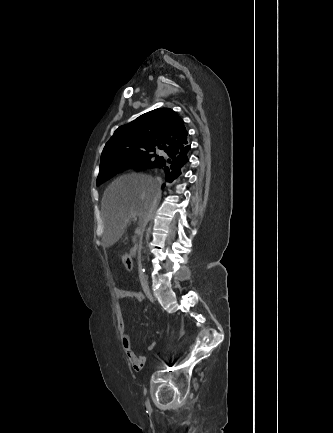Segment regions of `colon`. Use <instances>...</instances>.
Here are the masks:
<instances>
[{"mask_svg":"<svg viewBox=\"0 0 333 433\" xmlns=\"http://www.w3.org/2000/svg\"><path fill=\"white\" fill-rule=\"evenodd\" d=\"M121 262L124 265L126 270L130 271L132 269L133 266L130 257L127 256L122 257Z\"/></svg>","mask_w":333,"mask_h":433,"instance_id":"obj_1","label":"colon"}]
</instances>
